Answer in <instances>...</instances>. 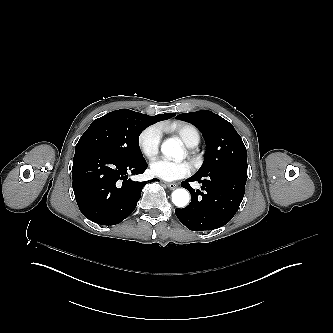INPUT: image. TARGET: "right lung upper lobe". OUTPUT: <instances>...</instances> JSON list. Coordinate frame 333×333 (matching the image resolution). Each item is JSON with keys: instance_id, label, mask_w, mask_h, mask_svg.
<instances>
[{"instance_id": "obj_1", "label": "right lung upper lobe", "mask_w": 333, "mask_h": 333, "mask_svg": "<svg viewBox=\"0 0 333 333\" xmlns=\"http://www.w3.org/2000/svg\"><path fill=\"white\" fill-rule=\"evenodd\" d=\"M175 116L174 113H165V114H159V115H156V116H148L147 115V118L149 119V121L151 123H156L158 121H161V120H166V119H169L171 117Z\"/></svg>"}]
</instances>
